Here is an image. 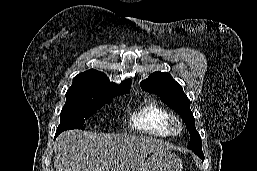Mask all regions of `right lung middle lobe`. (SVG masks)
<instances>
[{"label":"right lung middle lobe","mask_w":257,"mask_h":171,"mask_svg":"<svg viewBox=\"0 0 257 171\" xmlns=\"http://www.w3.org/2000/svg\"><path fill=\"white\" fill-rule=\"evenodd\" d=\"M118 94L92 89H69L66 103L60 114L58 132L70 129H85V120L105 104H109Z\"/></svg>","instance_id":"right-lung-middle-lobe-1"}]
</instances>
